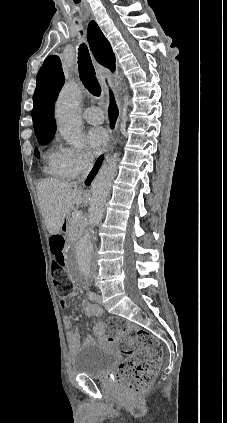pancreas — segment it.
Listing matches in <instances>:
<instances>
[{
	"instance_id": "1",
	"label": "pancreas",
	"mask_w": 227,
	"mask_h": 423,
	"mask_svg": "<svg viewBox=\"0 0 227 423\" xmlns=\"http://www.w3.org/2000/svg\"><path fill=\"white\" fill-rule=\"evenodd\" d=\"M67 231L69 233L68 239H78L82 233L81 221H75V219H69Z\"/></svg>"
}]
</instances>
